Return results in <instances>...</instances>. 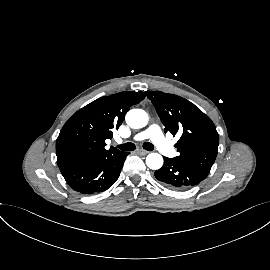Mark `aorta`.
Returning <instances> with one entry per match:
<instances>
[{"instance_id":"762f6f07","label":"aorta","mask_w":270,"mask_h":270,"mask_svg":"<svg viewBox=\"0 0 270 270\" xmlns=\"http://www.w3.org/2000/svg\"><path fill=\"white\" fill-rule=\"evenodd\" d=\"M126 123L134 129L143 128L148 123V114L142 109H132L126 114ZM146 165L152 169H160L163 165V158L158 153H151L146 157Z\"/></svg>"}]
</instances>
